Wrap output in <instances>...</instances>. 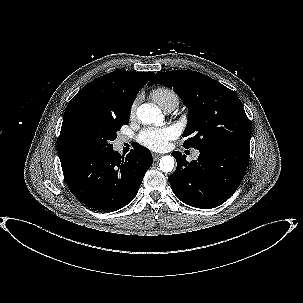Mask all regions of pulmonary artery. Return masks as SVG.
I'll list each match as a JSON object with an SVG mask.
<instances>
[{"mask_svg":"<svg viewBox=\"0 0 303 303\" xmlns=\"http://www.w3.org/2000/svg\"><path fill=\"white\" fill-rule=\"evenodd\" d=\"M173 111V108H167V109H165L164 110V112L165 113H170V112H172ZM128 139L126 138V137H121L120 138V143H124V142H126ZM198 155H199V152L198 151H196L195 153H194V158H197L198 157Z\"/></svg>","mask_w":303,"mask_h":303,"instance_id":"obj_1","label":"pulmonary artery"}]
</instances>
